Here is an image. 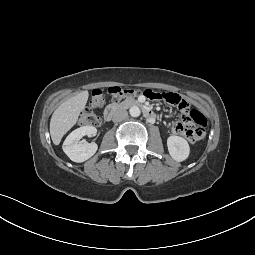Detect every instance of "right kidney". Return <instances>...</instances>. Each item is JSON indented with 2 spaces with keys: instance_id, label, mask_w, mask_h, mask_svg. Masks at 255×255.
Listing matches in <instances>:
<instances>
[{
  "instance_id": "obj_1",
  "label": "right kidney",
  "mask_w": 255,
  "mask_h": 255,
  "mask_svg": "<svg viewBox=\"0 0 255 255\" xmlns=\"http://www.w3.org/2000/svg\"><path fill=\"white\" fill-rule=\"evenodd\" d=\"M97 129L93 126H83L72 131L63 143V151L74 162H84L91 158L97 151L96 143H80L79 140L88 135L94 136Z\"/></svg>"
}]
</instances>
